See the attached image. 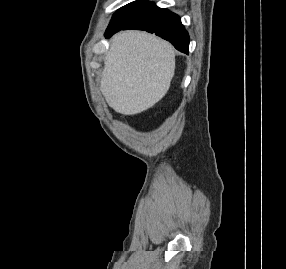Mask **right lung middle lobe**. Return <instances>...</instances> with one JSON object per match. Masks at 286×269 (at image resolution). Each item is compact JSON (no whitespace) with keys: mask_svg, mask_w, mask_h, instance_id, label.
Listing matches in <instances>:
<instances>
[{"mask_svg":"<svg viewBox=\"0 0 286 269\" xmlns=\"http://www.w3.org/2000/svg\"><path fill=\"white\" fill-rule=\"evenodd\" d=\"M155 7L148 1H136L119 9L112 17L108 29L122 28Z\"/></svg>","mask_w":286,"mask_h":269,"instance_id":"1","label":"right lung middle lobe"}]
</instances>
